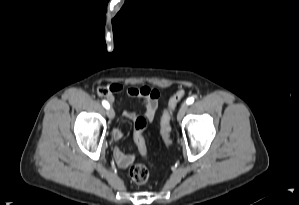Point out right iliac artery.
I'll return each instance as SVG.
<instances>
[{
	"mask_svg": "<svg viewBox=\"0 0 299 205\" xmlns=\"http://www.w3.org/2000/svg\"><path fill=\"white\" fill-rule=\"evenodd\" d=\"M102 105H103L106 109H108V108L110 107L109 103H108L107 101H105V100L102 101Z\"/></svg>",
	"mask_w": 299,
	"mask_h": 205,
	"instance_id": "right-iliac-artery-1",
	"label": "right iliac artery"
}]
</instances>
